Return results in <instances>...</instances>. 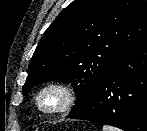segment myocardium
I'll use <instances>...</instances> for the list:
<instances>
[{"mask_svg":"<svg viewBox=\"0 0 147 131\" xmlns=\"http://www.w3.org/2000/svg\"><path fill=\"white\" fill-rule=\"evenodd\" d=\"M51 92L59 96V104L53 108H45L41 104V99L45 94ZM77 99L78 95L73 85L62 80H53L43 84L37 89L33 96L36 109L40 113L48 116L69 112L75 106Z\"/></svg>","mask_w":147,"mask_h":131,"instance_id":"obj_1","label":"myocardium"}]
</instances>
